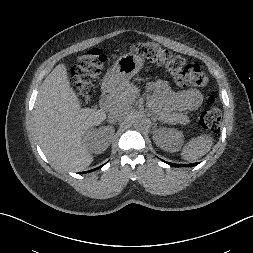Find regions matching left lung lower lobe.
<instances>
[{"mask_svg":"<svg viewBox=\"0 0 253 253\" xmlns=\"http://www.w3.org/2000/svg\"><path fill=\"white\" fill-rule=\"evenodd\" d=\"M169 165H171V166H174V167H186V166H195V165H197V163H192V164H174V163H169V162H167Z\"/></svg>","mask_w":253,"mask_h":253,"instance_id":"1","label":"left lung lower lobe"}]
</instances>
